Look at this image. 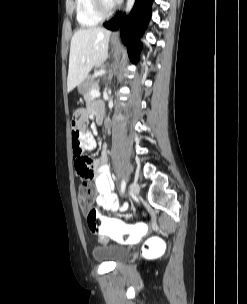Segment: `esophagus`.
I'll list each match as a JSON object with an SVG mask.
<instances>
[{
	"instance_id": "34e87169",
	"label": "esophagus",
	"mask_w": 247,
	"mask_h": 304,
	"mask_svg": "<svg viewBox=\"0 0 247 304\" xmlns=\"http://www.w3.org/2000/svg\"><path fill=\"white\" fill-rule=\"evenodd\" d=\"M113 36H114V37H117V32H114V33H113Z\"/></svg>"
}]
</instances>
